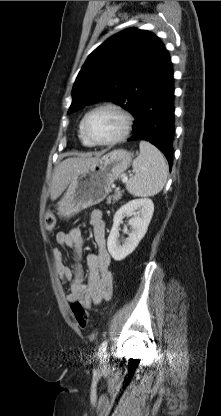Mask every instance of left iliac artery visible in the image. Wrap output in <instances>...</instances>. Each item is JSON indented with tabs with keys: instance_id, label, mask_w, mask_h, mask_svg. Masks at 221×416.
I'll return each instance as SVG.
<instances>
[{
	"instance_id": "1",
	"label": "left iliac artery",
	"mask_w": 221,
	"mask_h": 416,
	"mask_svg": "<svg viewBox=\"0 0 221 416\" xmlns=\"http://www.w3.org/2000/svg\"><path fill=\"white\" fill-rule=\"evenodd\" d=\"M107 345H108V341H106V340L101 344V346L99 348L100 356L103 355V353H105V351L107 349Z\"/></svg>"
}]
</instances>
